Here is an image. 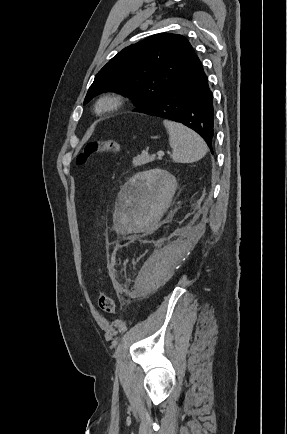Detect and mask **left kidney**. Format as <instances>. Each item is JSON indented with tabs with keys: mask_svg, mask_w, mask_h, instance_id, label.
Masks as SVG:
<instances>
[{
	"mask_svg": "<svg viewBox=\"0 0 287 434\" xmlns=\"http://www.w3.org/2000/svg\"><path fill=\"white\" fill-rule=\"evenodd\" d=\"M177 188L176 178L163 169H151L134 175L124 187L128 214L145 220L157 208H167ZM131 209H127V207Z\"/></svg>",
	"mask_w": 287,
	"mask_h": 434,
	"instance_id": "1",
	"label": "left kidney"
}]
</instances>
